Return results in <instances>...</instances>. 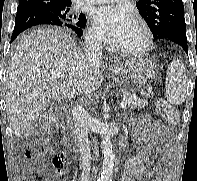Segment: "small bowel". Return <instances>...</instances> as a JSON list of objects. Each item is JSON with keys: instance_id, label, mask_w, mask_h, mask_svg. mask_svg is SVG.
Here are the masks:
<instances>
[{"instance_id": "c3829d8e", "label": "small bowel", "mask_w": 197, "mask_h": 181, "mask_svg": "<svg viewBox=\"0 0 197 181\" xmlns=\"http://www.w3.org/2000/svg\"><path fill=\"white\" fill-rule=\"evenodd\" d=\"M172 136L171 127L149 116L135 120L131 137L139 143V153L127 162L120 181H171L174 165Z\"/></svg>"}]
</instances>
